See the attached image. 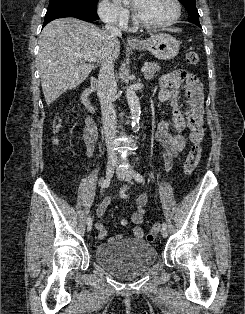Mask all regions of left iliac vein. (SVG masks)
Returning <instances> with one entry per match:
<instances>
[{"instance_id":"1","label":"left iliac vein","mask_w":245,"mask_h":314,"mask_svg":"<svg viewBox=\"0 0 245 314\" xmlns=\"http://www.w3.org/2000/svg\"><path fill=\"white\" fill-rule=\"evenodd\" d=\"M117 176H118L121 180H123V181H125V182H132V175H131L128 171L119 170V171H117ZM161 235H162L163 237H167V235H168L167 229L162 228V230H161Z\"/></svg>"}]
</instances>
